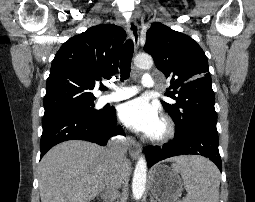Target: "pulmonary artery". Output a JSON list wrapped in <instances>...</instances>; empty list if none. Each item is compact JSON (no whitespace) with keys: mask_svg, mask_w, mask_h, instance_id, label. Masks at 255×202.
<instances>
[{"mask_svg":"<svg viewBox=\"0 0 255 202\" xmlns=\"http://www.w3.org/2000/svg\"><path fill=\"white\" fill-rule=\"evenodd\" d=\"M142 85L145 88H153L154 87V80L151 75L144 74L142 77ZM137 93V89L135 87H122L118 89L116 92L105 96L102 98V103L106 104L109 102H116L121 101L127 98H130L131 96L135 95Z\"/></svg>","mask_w":255,"mask_h":202,"instance_id":"1","label":"pulmonary artery"}]
</instances>
